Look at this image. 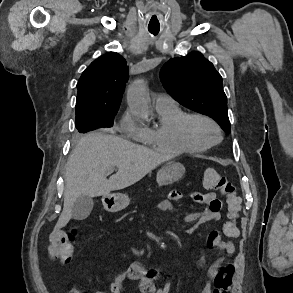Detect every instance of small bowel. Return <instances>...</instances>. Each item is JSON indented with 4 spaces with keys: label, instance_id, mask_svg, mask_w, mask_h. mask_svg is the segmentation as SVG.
Segmentation results:
<instances>
[{
    "label": "small bowel",
    "instance_id": "obj_1",
    "mask_svg": "<svg viewBox=\"0 0 293 293\" xmlns=\"http://www.w3.org/2000/svg\"><path fill=\"white\" fill-rule=\"evenodd\" d=\"M182 198L183 194L181 191L173 190L169 197L160 201L154 209L156 211H171L173 210V202H178ZM191 198L197 203L204 204L206 207L202 212H191L183 216V220L190 224L185 230V233L188 235L193 234L200 225L209 221H217L221 217V202L215 192H193ZM206 244L209 248H218L226 254H233L235 252L234 243L230 240L222 239L219 231H211L208 234ZM205 261L206 257L203 256L200 259V263L203 264ZM220 263L221 260H218L208 268L209 280L205 283L201 293H213V280L219 270ZM161 278V272L148 268L139 261H133L126 271L113 274L107 290L99 289L94 291V293H126L124 286L126 279L137 283L139 293H170L171 287L169 284L157 286V282ZM70 292L82 293L83 291L78 287H73Z\"/></svg>",
    "mask_w": 293,
    "mask_h": 293
}]
</instances>
